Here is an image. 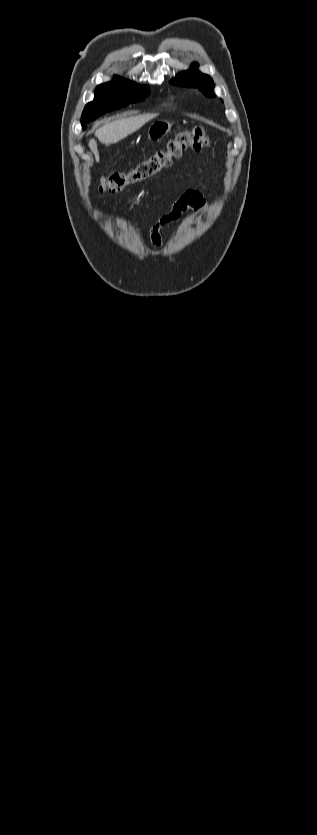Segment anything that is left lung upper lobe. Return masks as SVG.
Returning a JSON list of instances; mask_svg holds the SVG:
<instances>
[{"instance_id": "left-lung-upper-lobe-1", "label": "left lung upper lobe", "mask_w": 317, "mask_h": 835, "mask_svg": "<svg viewBox=\"0 0 317 835\" xmlns=\"http://www.w3.org/2000/svg\"><path fill=\"white\" fill-rule=\"evenodd\" d=\"M196 66L197 64H194V67ZM171 82L179 86L197 87L206 96H215L213 92L214 83L211 77L206 74H202L193 68L186 72H182L176 78L172 79Z\"/></svg>"}]
</instances>
